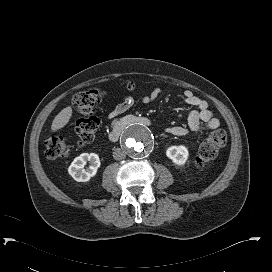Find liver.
<instances>
[{
  "mask_svg": "<svg viewBox=\"0 0 272 272\" xmlns=\"http://www.w3.org/2000/svg\"><path fill=\"white\" fill-rule=\"evenodd\" d=\"M72 116V108L68 106L61 110L59 114H57L52 122L51 130L56 131L63 128L70 120Z\"/></svg>",
  "mask_w": 272,
  "mask_h": 272,
  "instance_id": "6515ba94",
  "label": "liver"
}]
</instances>
